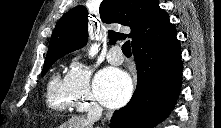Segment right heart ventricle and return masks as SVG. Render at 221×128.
<instances>
[{"label":"right heart ventricle","instance_id":"obj_1","mask_svg":"<svg viewBox=\"0 0 221 128\" xmlns=\"http://www.w3.org/2000/svg\"><path fill=\"white\" fill-rule=\"evenodd\" d=\"M47 105L56 112H71L74 108V98L68 87L66 77L54 73L47 88Z\"/></svg>","mask_w":221,"mask_h":128}]
</instances>
